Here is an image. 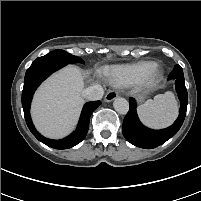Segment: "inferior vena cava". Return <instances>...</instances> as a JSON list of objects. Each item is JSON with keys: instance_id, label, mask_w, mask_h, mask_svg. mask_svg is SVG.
Wrapping results in <instances>:
<instances>
[{"instance_id": "obj_1", "label": "inferior vena cava", "mask_w": 201, "mask_h": 201, "mask_svg": "<svg viewBox=\"0 0 201 201\" xmlns=\"http://www.w3.org/2000/svg\"><path fill=\"white\" fill-rule=\"evenodd\" d=\"M104 90L101 85L94 84L84 90V96L89 101L102 99Z\"/></svg>"}]
</instances>
